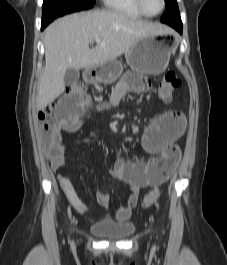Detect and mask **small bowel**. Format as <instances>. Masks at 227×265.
I'll use <instances>...</instances> for the list:
<instances>
[{"label":"small bowel","instance_id":"small-bowel-1","mask_svg":"<svg viewBox=\"0 0 227 265\" xmlns=\"http://www.w3.org/2000/svg\"><path fill=\"white\" fill-rule=\"evenodd\" d=\"M149 87V81L139 76V72H128L116 85L111 95V102L118 105L127 93H143ZM89 104H94V99H89L87 91H83V87H68V91H63V96L57 99L54 116L58 117V122L50 129L44 146L45 154L50 160L53 170L60 169L66 162L62 132L74 133L81 129L82 116ZM102 109V105H97L92 107L91 111L100 112ZM184 129L185 118L181 113L164 112L158 115L145 129L141 141L142 147L150 155H162L169 148L177 147L175 143L183 134ZM109 174L113 178L125 182L130 191L126 203L119 206L115 212L116 221L120 223H125L130 218L143 188L155 187L169 177L159 168L157 158L142 162L125 161L118 157ZM58 181L70 204L79 213H87L88 209L80 199L71 180L66 176L59 175ZM95 197L101 207H109L110 195L107 192L99 191ZM113 221L111 218L104 219L106 223H113Z\"/></svg>","mask_w":227,"mask_h":265}]
</instances>
